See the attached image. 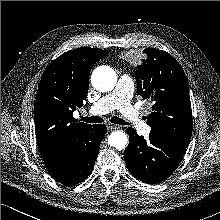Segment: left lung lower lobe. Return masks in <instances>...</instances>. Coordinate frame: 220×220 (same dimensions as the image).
<instances>
[{"instance_id": "left-lung-lower-lobe-1", "label": "left lung lower lobe", "mask_w": 220, "mask_h": 220, "mask_svg": "<svg viewBox=\"0 0 220 220\" xmlns=\"http://www.w3.org/2000/svg\"><path fill=\"white\" fill-rule=\"evenodd\" d=\"M130 143L124 157L129 172L138 180L155 184L166 180L178 167L187 144L150 132L149 139L127 129Z\"/></svg>"}]
</instances>
